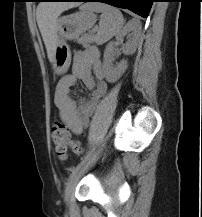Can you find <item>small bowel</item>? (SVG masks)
<instances>
[{
	"mask_svg": "<svg viewBox=\"0 0 202 217\" xmlns=\"http://www.w3.org/2000/svg\"><path fill=\"white\" fill-rule=\"evenodd\" d=\"M78 80L91 91L89 99L75 100L71 96ZM106 91L107 84L104 81L99 52L96 49L77 52L72 74L66 75L58 82L54 93V102L60 117L73 133L81 134L88 126L91 115Z\"/></svg>",
	"mask_w": 202,
	"mask_h": 217,
	"instance_id": "obj_1",
	"label": "small bowel"
}]
</instances>
